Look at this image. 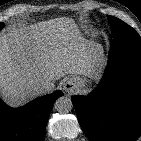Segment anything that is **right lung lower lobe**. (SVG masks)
<instances>
[{
  "mask_svg": "<svg viewBox=\"0 0 141 141\" xmlns=\"http://www.w3.org/2000/svg\"><path fill=\"white\" fill-rule=\"evenodd\" d=\"M62 95L58 90L18 109L0 99V141H41L52 105Z\"/></svg>",
  "mask_w": 141,
  "mask_h": 141,
  "instance_id": "1",
  "label": "right lung lower lobe"
}]
</instances>
